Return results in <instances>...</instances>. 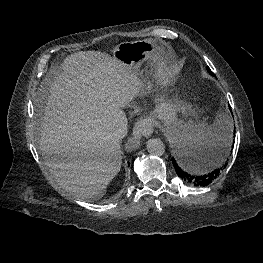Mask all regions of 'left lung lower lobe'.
<instances>
[{"label":"left lung lower lobe","instance_id":"0a47b994","mask_svg":"<svg viewBox=\"0 0 263 263\" xmlns=\"http://www.w3.org/2000/svg\"><path fill=\"white\" fill-rule=\"evenodd\" d=\"M229 108L231 110V107ZM230 146L227 149L228 152ZM178 154L179 157L177 159L172 158L173 166L178 177L189 185L205 187L213 183L221 175L223 166L218 168L216 167L215 169H209L207 171L199 170L197 168L199 154L197 153H183L181 150H178ZM227 154L225 156H227Z\"/></svg>","mask_w":263,"mask_h":263}]
</instances>
